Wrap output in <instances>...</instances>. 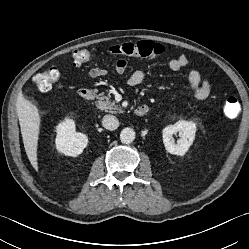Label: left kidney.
<instances>
[{"mask_svg": "<svg viewBox=\"0 0 249 249\" xmlns=\"http://www.w3.org/2000/svg\"><path fill=\"white\" fill-rule=\"evenodd\" d=\"M163 143L165 149L174 155H184L194 141L196 124L192 121L180 120L163 129ZM179 133L180 138L175 143L173 135Z\"/></svg>", "mask_w": 249, "mask_h": 249, "instance_id": "obj_1", "label": "left kidney"}]
</instances>
